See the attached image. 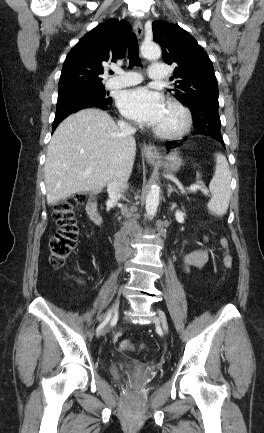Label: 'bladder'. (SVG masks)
<instances>
[{"label":"bladder","instance_id":"31cf9c89","mask_svg":"<svg viewBox=\"0 0 264 433\" xmlns=\"http://www.w3.org/2000/svg\"><path fill=\"white\" fill-rule=\"evenodd\" d=\"M125 366L114 364L111 367L112 374L120 380L121 372L124 370Z\"/></svg>","mask_w":264,"mask_h":433}]
</instances>
